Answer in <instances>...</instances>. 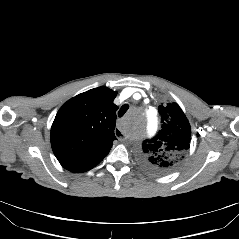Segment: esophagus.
Returning <instances> with one entry per match:
<instances>
[{"label": "esophagus", "mask_w": 239, "mask_h": 239, "mask_svg": "<svg viewBox=\"0 0 239 239\" xmlns=\"http://www.w3.org/2000/svg\"><path fill=\"white\" fill-rule=\"evenodd\" d=\"M114 133H115V135L118 137V139L120 141H124L125 140L124 135L121 134V131L118 128L114 129Z\"/></svg>", "instance_id": "1"}]
</instances>
